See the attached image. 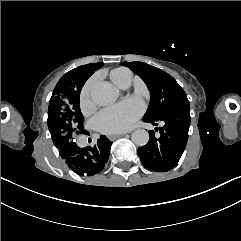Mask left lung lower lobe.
Wrapping results in <instances>:
<instances>
[{"label":"left lung lower lobe","mask_w":241,"mask_h":241,"mask_svg":"<svg viewBox=\"0 0 241 241\" xmlns=\"http://www.w3.org/2000/svg\"><path fill=\"white\" fill-rule=\"evenodd\" d=\"M143 121L153 125H158V121L165 122L160 128V137L156 138L154 131H150L149 142L138 149L143 165L157 172L172 169L181 158L187 143L190 105H181L160 118H149Z\"/></svg>","instance_id":"0a47b994"}]
</instances>
